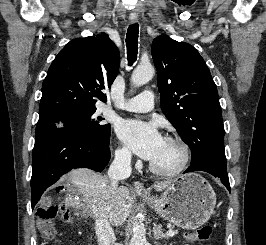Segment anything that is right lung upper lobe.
Segmentation results:
<instances>
[{
    "label": "right lung upper lobe",
    "instance_id": "right-lung-upper-lobe-1",
    "mask_svg": "<svg viewBox=\"0 0 266 245\" xmlns=\"http://www.w3.org/2000/svg\"><path fill=\"white\" fill-rule=\"evenodd\" d=\"M120 63L119 50L108 34L70 41L52 62L42 85L39 121L62 113L96 108L106 102Z\"/></svg>",
    "mask_w": 266,
    "mask_h": 245
}]
</instances>
